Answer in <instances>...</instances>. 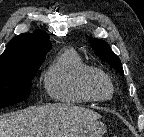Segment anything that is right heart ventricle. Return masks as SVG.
Wrapping results in <instances>:
<instances>
[{"instance_id": "1", "label": "right heart ventricle", "mask_w": 144, "mask_h": 137, "mask_svg": "<svg viewBox=\"0 0 144 137\" xmlns=\"http://www.w3.org/2000/svg\"><path fill=\"white\" fill-rule=\"evenodd\" d=\"M90 67L73 48H66L50 63L44 73V86L49 96L70 105L93 101L82 89L81 81Z\"/></svg>"}]
</instances>
